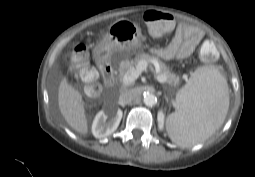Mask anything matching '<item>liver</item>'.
<instances>
[{"instance_id":"1","label":"liver","mask_w":255,"mask_h":177,"mask_svg":"<svg viewBox=\"0 0 255 177\" xmlns=\"http://www.w3.org/2000/svg\"><path fill=\"white\" fill-rule=\"evenodd\" d=\"M58 105L66 122L75 131L86 134L88 124L82 95L64 77L58 89Z\"/></svg>"}]
</instances>
